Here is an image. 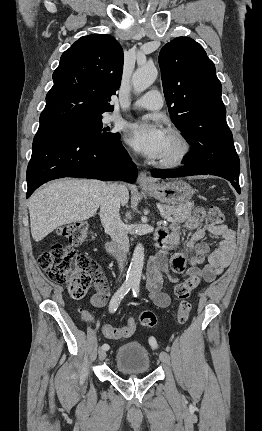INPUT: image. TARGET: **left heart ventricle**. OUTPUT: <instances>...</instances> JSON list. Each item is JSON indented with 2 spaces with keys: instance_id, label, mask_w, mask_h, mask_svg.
<instances>
[{
  "instance_id": "b2bd125f",
  "label": "left heart ventricle",
  "mask_w": 262,
  "mask_h": 431,
  "mask_svg": "<svg viewBox=\"0 0 262 431\" xmlns=\"http://www.w3.org/2000/svg\"><path fill=\"white\" fill-rule=\"evenodd\" d=\"M176 151H177L176 142L174 141V139L170 135L167 134L166 142H165L163 150L159 156V159L170 157V156L174 155L176 153Z\"/></svg>"
}]
</instances>
